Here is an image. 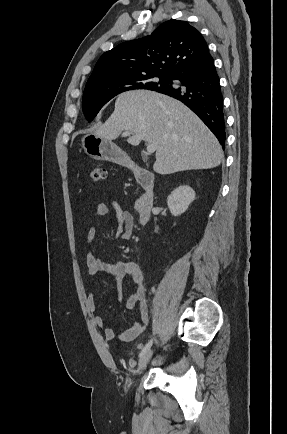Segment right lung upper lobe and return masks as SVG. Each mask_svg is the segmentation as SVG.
Listing matches in <instances>:
<instances>
[{"label": "right lung upper lobe", "mask_w": 287, "mask_h": 434, "mask_svg": "<svg viewBox=\"0 0 287 434\" xmlns=\"http://www.w3.org/2000/svg\"><path fill=\"white\" fill-rule=\"evenodd\" d=\"M207 54V43L200 32L186 21L172 19L151 35L123 42L105 52L87 83L151 74L175 77Z\"/></svg>", "instance_id": "right-lung-upper-lobe-1"}]
</instances>
